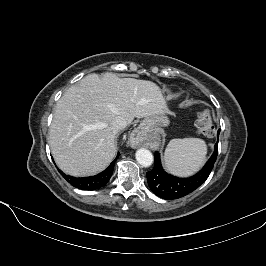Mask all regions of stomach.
<instances>
[{
    "label": "stomach",
    "instance_id": "0dacf381",
    "mask_svg": "<svg viewBox=\"0 0 266 266\" xmlns=\"http://www.w3.org/2000/svg\"><path fill=\"white\" fill-rule=\"evenodd\" d=\"M169 124V119L166 114L155 115L151 117H146L140 129L144 132L145 135H148L152 131L159 130L162 127H165Z\"/></svg>",
    "mask_w": 266,
    "mask_h": 266
}]
</instances>
